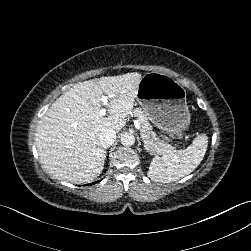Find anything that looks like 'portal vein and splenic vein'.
<instances>
[{"label":"portal vein and splenic vein","instance_id":"obj_1","mask_svg":"<svg viewBox=\"0 0 251 251\" xmlns=\"http://www.w3.org/2000/svg\"><path fill=\"white\" fill-rule=\"evenodd\" d=\"M101 99H102V101H106V97L105 96H102L101 97ZM99 115L100 116H104L106 113H105V110H103V109H100L99 110ZM134 124H135V126L136 127H138L139 126V121L136 119V120H134ZM171 145L172 146H175L177 149H179L180 151H186L187 150V147L186 146H182V145H180L179 143H177L176 141H172L171 142Z\"/></svg>","mask_w":251,"mask_h":251}]
</instances>
